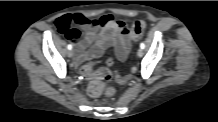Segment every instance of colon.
<instances>
[{
    "label": "colon",
    "mask_w": 218,
    "mask_h": 122,
    "mask_svg": "<svg viewBox=\"0 0 218 122\" xmlns=\"http://www.w3.org/2000/svg\"><path fill=\"white\" fill-rule=\"evenodd\" d=\"M57 29L65 34L70 40H77L81 36V31L74 26L73 19L70 16H63L56 21ZM146 28V23L143 20H137L134 22L131 30V39L136 40L139 38ZM103 68L96 70L97 65L95 62H83L78 67L77 75L79 77H88L90 82L88 85V93L91 96H98L105 92L107 95L114 93V87L109 85L104 86V82L116 80L121 84L130 83L133 80L132 74H125V76H119L113 71L117 69L118 64L114 61L112 55L103 56ZM96 70V71H95Z\"/></svg>",
    "instance_id": "obj_1"
}]
</instances>
